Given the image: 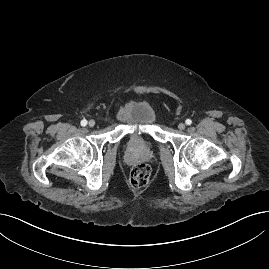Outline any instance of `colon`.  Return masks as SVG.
Here are the masks:
<instances>
[{"instance_id": "obj_1", "label": "colon", "mask_w": 269, "mask_h": 269, "mask_svg": "<svg viewBox=\"0 0 269 269\" xmlns=\"http://www.w3.org/2000/svg\"><path fill=\"white\" fill-rule=\"evenodd\" d=\"M151 177V168L149 165L141 163L135 165L130 172L129 181L135 188L145 187Z\"/></svg>"}]
</instances>
